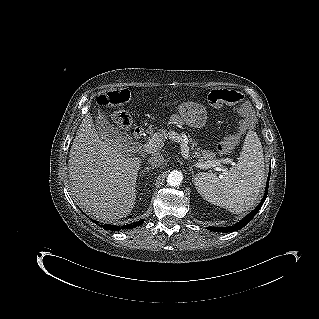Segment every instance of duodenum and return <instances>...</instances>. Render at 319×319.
<instances>
[{
  "mask_svg": "<svg viewBox=\"0 0 319 319\" xmlns=\"http://www.w3.org/2000/svg\"><path fill=\"white\" fill-rule=\"evenodd\" d=\"M144 128L142 126H137L135 129H134V132H133V137L136 141H139L140 139H142L143 135H144Z\"/></svg>",
  "mask_w": 319,
  "mask_h": 319,
  "instance_id": "obj_1",
  "label": "duodenum"
}]
</instances>
